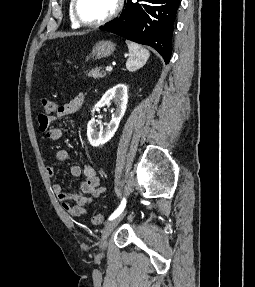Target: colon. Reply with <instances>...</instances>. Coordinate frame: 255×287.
<instances>
[{
    "instance_id": "1",
    "label": "colon",
    "mask_w": 255,
    "mask_h": 287,
    "mask_svg": "<svg viewBox=\"0 0 255 287\" xmlns=\"http://www.w3.org/2000/svg\"><path fill=\"white\" fill-rule=\"evenodd\" d=\"M42 106H43L44 112L47 115L53 114L57 108L55 102L49 98H43L42 99ZM91 221L95 225L101 224L104 221V215L103 214H96L92 217Z\"/></svg>"
}]
</instances>
